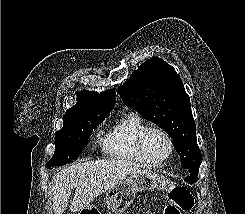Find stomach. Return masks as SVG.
<instances>
[{"instance_id": "obj_1", "label": "stomach", "mask_w": 245, "mask_h": 214, "mask_svg": "<svg viewBox=\"0 0 245 214\" xmlns=\"http://www.w3.org/2000/svg\"><path fill=\"white\" fill-rule=\"evenodd\" d=\"M173 184L151 170H137L121 183L106 193L108 208L115 214H121L134 201L138 192L158 189L169 191ZM92 206L88 205L84 213L89 214Z\"/></svg>"}]
</instances>
